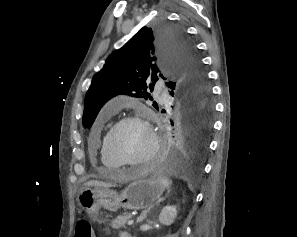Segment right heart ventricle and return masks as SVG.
Returning a JSON list of instances; mask_svg holds the SVG:
<instances>
[{"label":"right heart ventricle","mask_w":297,"mask_h":237,"mask_svg":"<svg viewBox=\"0 0 297 237\" xmlns=\"http://www.w3.org/2000/svg\"><path fill=\"white\" fill-rule=\"evenodd\" d=\"M99 156H100L101 164L106 169H108L110 171H115V170L120 169L121 165L109 154V152L107 150L105 137L103 138L101 145H100Z\"/></svg>","instance_id":"obj_1"}]
</instances>
